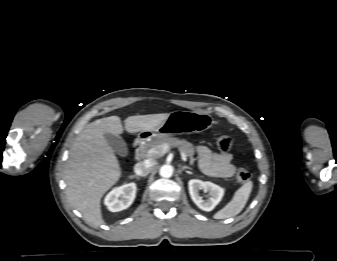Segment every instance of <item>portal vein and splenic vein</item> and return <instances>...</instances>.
<instances>
[{"label": "portal vein and splenic vein", "mask_w": 337, "mask_h": 261, "mask_svg": "<svg viewBox=\"0 0 337 261\" xmlns=\"http://www.w3.org/2000/svg\"><path fill=\"white\" fill-rule=\"evenodd\" d=\"M170 149L168 144H163L157 147H154L150 150H148L147 154L148 155H152V154H156V153H161L162 155L165 154L166 152H168ZM181 153V158L183 161H187V156L185 155L184 151H180Z\"/></svg>", "instance_id": "portal-vein-and-splenic-vein-1"}]
</instances>
